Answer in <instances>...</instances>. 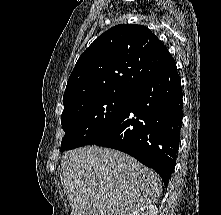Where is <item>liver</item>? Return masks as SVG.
Masks as SVG:
<instances>
[{"label":"liver","instance_id":"1","mask_svg":"<svg viewBox=\"0 0 221 215\" xmlns=\"http://www.w3.org/2000/svg\"><path fill=\"white\" fill-rule=\"evenodd\" d=\"M61 172L72 215H130L155 203L162 192L161 178L153 170L110 148L68 151Z\"/></svg>","mask_w":221,"mask_h":215}]
</instances>
